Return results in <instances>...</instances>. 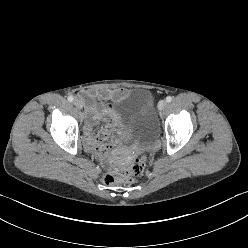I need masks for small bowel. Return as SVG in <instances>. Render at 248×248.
Returning a JSON list of instances; mask_svg holds the SVG:
<instances>
[{
    "mask_svg": "<svg viewBox=\"0 0 248 248\" xmlns=\"http://www.w3.org/2000/svg\"><path fill=\"white\" fill-rule=\"evenodd\" d=\"M126 94L127 90L120 88L103 92L86 91L81 95L87 112L85 134L90 150L101 153L113 148L117 142L119 127L114 107L111 104L96 103V100L115 101Z\"/></svg>",
    "mask_w": 248,
    "mask_h": 248,
    "instance_id": "obj_1",
    "label": "small bowel"
}]
</instances>
